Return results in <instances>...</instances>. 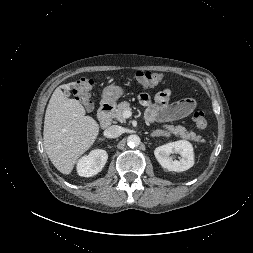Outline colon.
<instances>
[{"label":"colon","mask_w":253,"mask_h":253,"mask_svg":"<svg viewBox=\"0 0 253 253\" xmlns=\"http://www.w3.org/2000/svg\"><path fill=\"white\" fill-rule=\"evenodd\" d=\"M132 78L141 85H156L163 81L164 77L161 73L153 71H137L132 75ZM93 87V80L90 78L79 79L74 86L73 93L76 98L87 109L91 110L93 107L91 101V90ZM193 122L197 128L203 130L208 126V119L204 112L196 111L193 114Z\"/></svg>","instance_id":"obj_1"}]
</instances>
